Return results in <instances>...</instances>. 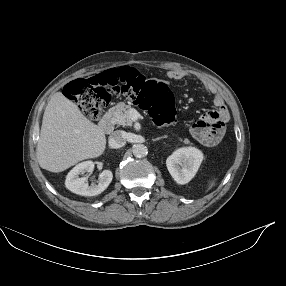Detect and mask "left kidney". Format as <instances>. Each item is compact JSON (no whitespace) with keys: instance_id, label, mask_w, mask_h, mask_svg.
Wrapping results in <instances>:
<instances>
[{"instance_id":"left-kidney-1","label":"left kidney","mask_w":286,"mask_h":286,"mask_svg":"<svg viewBox=\"0 0 286 286\" xmlns=\"http://www.w3.org/2000/svg\"><path fill=\"white\" fill-rule=\"evenodd\" d=\"M203 153L195 147L177 149L166 160V166L178 184L188 183L198 171Z\"/></svg>"}]
</instances>
